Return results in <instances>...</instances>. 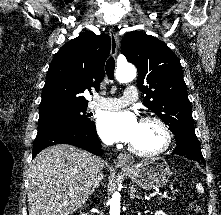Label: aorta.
Here are the masks:
<instances>
[{
    "instance_id": "obj_1",
    "label": "aorta",
    "mask_w": 221,
    "mask_h": 215,
    "mask_svg": "<svg viewBox=\"0 0 221 215\" xmlns=\"http://www.w3.org/2000/svg\"><path fill=\"white\" fill-rule=\"evenodd\" d=\"M116 79L120 83H127L136 77V68L132 64L117 66ZM110 215H120V194L114 193L109 201Z\"/></svg>"
}]
</instances>
